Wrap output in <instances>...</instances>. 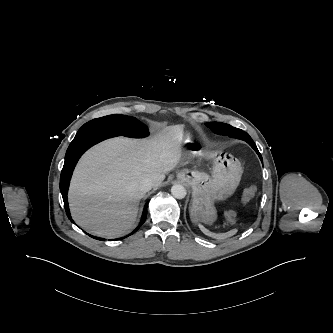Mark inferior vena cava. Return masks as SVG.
<instances>
[{
    "instance_id": "1",
    "label": "inferior vena cava",
    "mask_w": 333,
    "mask_h": 333,
    "mask_svg": "<svg viewBox=\"0 0 333 333\" xmlns=\"http://www.w3.org/2000/svg\"><path fill=\"white\" fill-rule=\"evenodd\" d=\"M152 187H153V182L149 178L142 179L138 184L139 190L144 193L151 190Z\"/></svg>"
}]
</instances>
